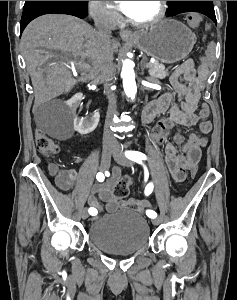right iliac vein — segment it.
Listing matches in <instances>:
<instances>
[{
	"mask_svg": "<svg viewBox=\"0 0 237 300\" xmlns=\"http://www.w3.org/2000/svg\"><path fill=\"white\" fill-rule=\"evenodd\" d=\"M111 154H112V148L111 147H107L103 149V154L101 156V161H100V169L102 171H106L109 166H110V162H111ZM89 217V213L87 209H84L82 211V219H87Z\"/></svg>",
	"mask_w": 237,
	"mask_h": 300,
	"instance_id": "obj_1",
	"label": "right iliac vein"
}]
</instances>
